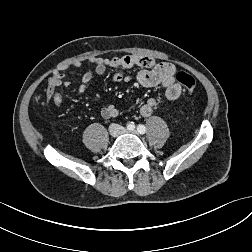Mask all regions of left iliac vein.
Here are the masks:
<instances>
[{"label":"left iliac vein","mask_w":252,"mask_h":252,"mask_svg":"<svg viewBox=\"0 0 252 252\" xmlns=\"http://www.w3.org/2000/svg\"><path fill=\"white\" fill-rule=\"evenodd\" d=\"M130 132H132V133L136 134V131H135V130H131Z\"/></svg>","instance_id":"obj_1"}]
</instances>
